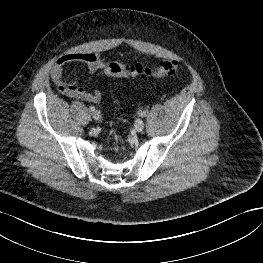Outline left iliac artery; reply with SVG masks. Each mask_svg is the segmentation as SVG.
I'll return each mask as SVG.
<instances>
[{
	"mask_svg": "<svg viewBox=\"0 0 263 263\" xmlns=\"http://www.w3.org/2000/svg\"><path fill=\"white\" fill-rule=\"evenodd\" d=\"M146 114H147L146 111H142V112L140 113V116H141V117H144V116H146Z\"/></svg>",
	"mask_w": 263,
	"mask_h": 263,
	"instance_id": "1",
	"label": "left iliac artery"
}]
</instances>
